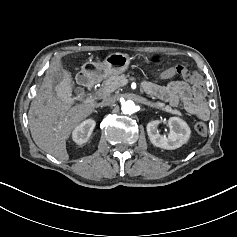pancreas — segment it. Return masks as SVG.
Returning a JSON list of instances; mask_svg holds the SVG:
<instances>
[{"label": "pancreas", "instance_id": "cf45deb5", "mask_svg": "<svg viewBox=\"0 0 237 237\" xmlns=\"http://www.w3.org/2000/svg\"><path fill=\"white\" fill-rule=\"evenodd\" d=\"M122 79H125V82H127V77L124 74L111 75L106 80L103 81L100 90L103 91L104 94L108 95L120 87ZM159 106L162 107L163 110L170 112L172 114H180L178 110L172 109L170 106H164L162 103H159Z\"/></svg>", "mask_w": 237, "mask_h": 237}]
</instances>
